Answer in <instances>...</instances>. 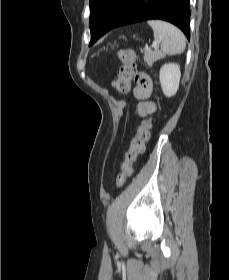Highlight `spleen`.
<instances>
[{"label":"spleen","mask_w":229,"mask_h":280,"mask_svg":"<svg viewBox=\"0 0 229 280\" xmlns=\"http://www.w3.org/2000/svg\"><path fill=\"white\" fill-rule=\"evenodd\" d=\"M148 24L153 29L155 41L160 44L162 54L176 55L184 51L186 41L180 29L161 20H149Z\"/></svg>","instance_id":"1"}]
</instances>
